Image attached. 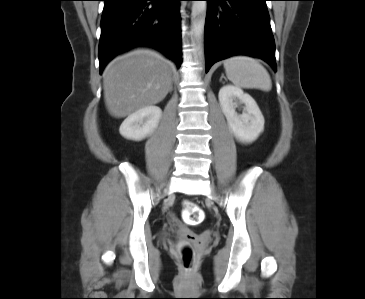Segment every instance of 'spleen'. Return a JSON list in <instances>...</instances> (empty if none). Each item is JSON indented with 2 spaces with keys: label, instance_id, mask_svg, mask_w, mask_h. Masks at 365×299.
<instances>
[{
  "label": "spleen",
  "instance_id": "obj_1",
  "mask_svg": "<svg viewBox=\"0 0 365 299\" xmlns=\"http://www.w3.org/2000/svg\"><path fill=\"white\" fill-rule=\"evenodd\" d=\"M227 78L239 88L271 90L272 82L267 70L255 59L234 56L224 61Z\"/></svg>",
  "mask_w": 365,
  "mask_h": 299
}]
</instances>
